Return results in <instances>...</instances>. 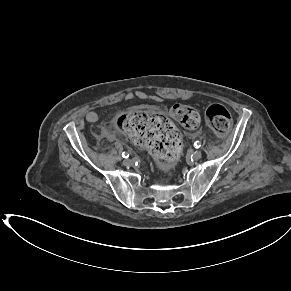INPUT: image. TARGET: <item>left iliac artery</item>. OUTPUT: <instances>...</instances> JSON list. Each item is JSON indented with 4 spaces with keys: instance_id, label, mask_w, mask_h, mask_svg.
<instances>
[{
    "instance_id": "44dca946",
    "label": "left iliac artery",
    "mask_w": 291,
    "mask_h": 291,
    "mask_svg": "<svg viewBox=\"0 0 291 291\" xmlns=\"http://www.w3.org/2000/svg\"><path fill=\"white\" fill-rule=\"evenodd\" d=\"M200 146H201V143L199 142V141H196L195 143H194V147L195 148H200Z\"/></svg>"
}]
</instances>
